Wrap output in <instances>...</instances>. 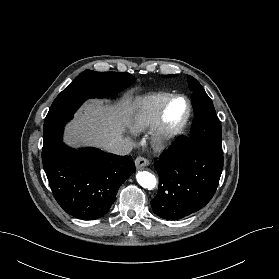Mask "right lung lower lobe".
Listing matches in <instances>:
<instances>
[{
    "label": "right lung lower lobe",
    "instance_id": "1",
    "mask_svg": "<svg viewBox=\"0 0 279 279\" xmlns=\"http://www.w3.org/2000/svg\"><path fill=\"white\" fill-rule=\"evenodd\" d=\"M58 204L81 220L104 216L120 185L135 171L131 156H117L96 148L75 150L63 142L43 161Z\"/></svg>",
    "mask_w": 279,
    "mask_h": 279
}]
</instances>
